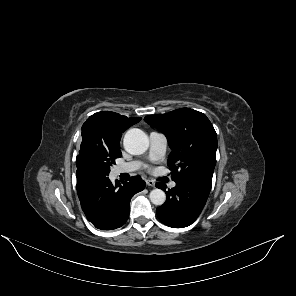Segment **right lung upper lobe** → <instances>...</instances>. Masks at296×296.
<instances>
[{
	"instance_id": "cb5924a9",
	"label": "right lung upper lobe",
	"mask_w": 296,
	"mask_h": 296,
	"mask_svg": "<svg viewBox=\"0 0 296 296\" xmlns=\"http://www.w3.org/2000/svg\"><path fill=\"white\" fill-rule=\"evenodd\" d=\"M140 120V117L128 118L110 111L98 112L84 122L82 137L84 141L119 144L121 134Z\"/></svg>"
}]
</instances>
